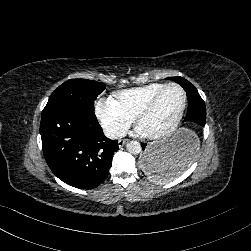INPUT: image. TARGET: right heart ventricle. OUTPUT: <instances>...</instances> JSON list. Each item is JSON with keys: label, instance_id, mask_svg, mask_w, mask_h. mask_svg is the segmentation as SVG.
<instances>
[{"label": "right heart ventricle", "instance_id": "e07e8e85", "mask_svg": "<svg viewBox=\"0 0 251 251\" xmlns=\"http://www.w3.org/2000/svg\"><path fill=\"white\" fill-rule=\"evenodd\" d=\"M165 85L166 83L162 82H151L123 90L118 94L119 101L127 111L136 115L138 110Z\"/></svg>", "mask_w": 251, "mask_h": 251}]
</instances>
